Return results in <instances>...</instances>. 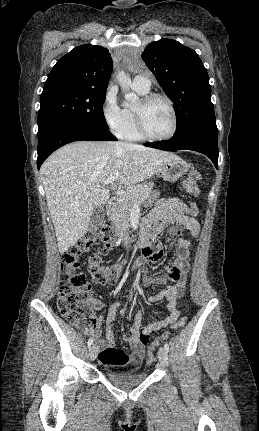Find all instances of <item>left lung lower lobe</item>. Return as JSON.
<instances>
[{
  "instance_id": "0a47b994",
  "label": "left lung lower lobe",
  "mask_w": 259,
  "mask_h": 431,
  "mask_svg": "<svg viewBox=\"0 0 259 431\" xmlns=\"http://www.w3.org/2000/svg\"><path fill=\"white\" fill-rule=\"evenodd\" d=\"M218 129L205 127H193L179 134H175L170 140L147 143L146 146L166 151L193 150L205 154L218 169Z\"/></svg>"
}]
</instances>
